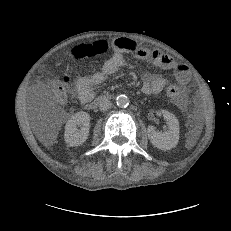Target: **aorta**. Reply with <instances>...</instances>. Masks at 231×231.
I'll use <instances>...</instances> for the list:
<instances>
[{
  "label": "aorta",
  "instance_id": "aorta-1",
  "mask_svg": "<svg viewBox=\"0 0 231 231\" xmlns=\"http://www.w3.org/2000/svg\"><path fill=\"white\" fill-rule=\"evenodd\" d=\"M129 98L126 95H119L116 98V104L119 107H127L129 105Z\"/></svg>",
  "mask_w": 231,
  "mask_h": 231
}]
</instances>
